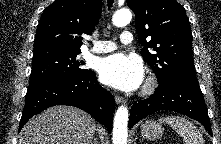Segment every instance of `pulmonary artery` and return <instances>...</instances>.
<instances>
[{
	"mask_svg": "<svg viewBox=\"0 0 221 144\" xmlns=\"http://www.w3.org/2000/svg\"><path fill=\"white\" fill-rule=\"evenodd\" d=\"M133 36L129 31H123L120 35L122 44H130ZM117 48V45L112 41H95L93 47L89 50L90 53H108Z\"/></svg>",
	"mask_w": 221,
	"mask_h": 144,
	"instance_id": "obj_1",
	"label": "pulmonary artery"
}]
</instances>
